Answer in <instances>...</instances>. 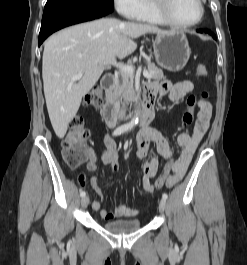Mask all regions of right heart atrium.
<instances>
[{
	"mask_svg": "<svg viewBox=\"0 0 247 265\" xmlns=\"http://www.w3.org/2000/svg\"><path fill=\"white\" fill-rule=\"evenodd\" d=\"M118 12L128 19L135 20L139 17L143 0H113Z\"/></svg>",
	"mask_w": 247,
	"mask_h": 265,
	"instance_id": "1",
	"label": "right heart atrium"
}]
</instances>
